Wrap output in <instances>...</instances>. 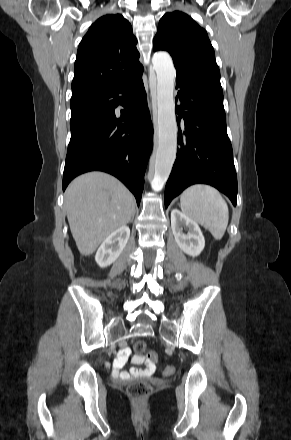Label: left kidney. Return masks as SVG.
<instances>
[{"label":"left kidney","instance_id":"obj_1","mask_svg":"<svg viewBox=\"0 0 291 440\" xmlns=\"http://www.w3.org/2000/svg\"><path fill=\"white\" fill-rule=\"evenodd\" d=\"M182 226L189 228L187 234L183 233ZM171 228L178 247L187 255L196 257L205 247V239L196 221L179 211H171Z\"/></svg>","mask_w":291,"mask_h":440}]
</instances>
